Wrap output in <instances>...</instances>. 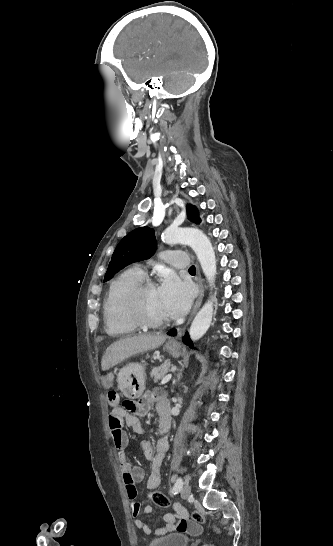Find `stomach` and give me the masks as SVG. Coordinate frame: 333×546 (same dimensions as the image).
Here are the masks:
<instances>
[{
    "label": "stomach",
    "instance_id": "stomach-1",
    "mask_svg": "<svg viewBox=\"0 0 333 546\" xmlns=\"http://www.w3.org/2000/svg\"><path fill=\"white\" fill-rule=\"evenodd\" d=\"M166 351L173 357L181 354L180 345L174 341L165 344ZM118 385L121 392L131 399L139 398L145 390V368L143 364L129 363L118 373Z\"/></svg>",
    "mask_w": 333,
    "mask_h": 546
}]
</instances>
